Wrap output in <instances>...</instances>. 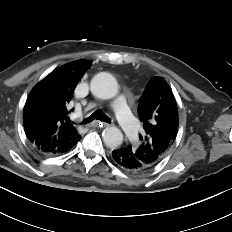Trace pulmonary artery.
Returning <instances> with one entry per match:
<instances>
[{
	"label": "pulmonary artery",
	"mask_w": 232,
	"mask_h": 232,
	"mask_svg": "<svg viewBox=\"0 0 232 232\" xmlns=\"http://www.w3.org/2000/svg\"><path fill=\"white\" fill-rule=\"evenodd\" d=\"M115 115L129 140H138V123L128 107V96L121 94L113 105Z\"/></svg>",
	"instance_id": "e3ab8cb5"
}]
</instances>
